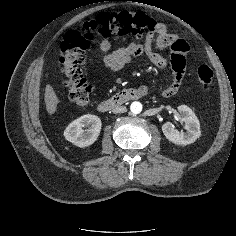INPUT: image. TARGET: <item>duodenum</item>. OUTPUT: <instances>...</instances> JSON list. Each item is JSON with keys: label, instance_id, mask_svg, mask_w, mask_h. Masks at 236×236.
<instances>
[{"label": "duodenum", "instance_id": "obj_1", "mask_svg": "<svg viewBox=\"0 0 236 236\" xmlns=\"http://www.w3.org/2000/svg\"><path fill=\"white\" fill-rule=\"evenodd\" d=\"M144 95H146V91L142 88H126L119 91L111 98L99 102L97 108L101 112H106L118 108L129 101L139 99Z\"/></svg>", "mask_w": 236, "mask_h": 236}]
</instances>
